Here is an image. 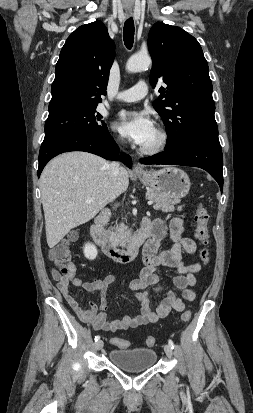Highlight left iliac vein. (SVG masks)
<instances>
[{
  "label": "left iliac vein",
  "mask_w": 253,
  "mask_h": 413,
  "mask_svg": "<svg viewBox=\"0 0 253 413\" xmlns=\"http://www.w3.org/2000/svg\"><path fill=\"white\" fill-rule=\"evenodd\" d=\"M164 351H165V353H166V355H167L168 358H171V357H172L173 352H172V348L170 347L169 344H166V345L164 346Z\"/></svg>",
  "instance_id": "obj_1"
}]
</instances>
